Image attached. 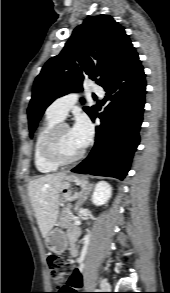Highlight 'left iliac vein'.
<instances>
[{"label": "left iliac vein", "instance_id": "obj_1", "mask_svg": "<svg viewBox=\"0 0 170 293\" xmlns=\"http://www.w3.org/2000/svg\"><path fill=\"white\" fill-rule=\"evenodd\" d=\"M101 287H105L107 289H110L111 288L110 283L107 282V281H102L101 282Z\"/></svg>", "mask_w": 170, "mask_h": 293}]
</instances>
